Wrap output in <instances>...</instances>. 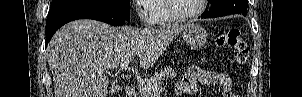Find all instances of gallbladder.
<instances>
[{
    "mask_svg": "<svg viewBox=\"0 0 302 97\" xmlns=\"http://www.w3.org/2000/svg\"><path fill=\"white\" fill-rule=\"evenodd\" d=\"M111 91H118V89L117 88H115V87H113L112 89H111Z\"/></svg>",
    "mask_w": 302,
    "mask_h": 97,
    "instance_id": "1",
    "label": "gallbladder"
}]
</instances>
